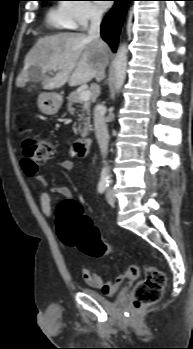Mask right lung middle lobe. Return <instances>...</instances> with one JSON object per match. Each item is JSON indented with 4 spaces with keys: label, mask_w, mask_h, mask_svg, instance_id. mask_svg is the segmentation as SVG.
I'll return each mask as SVG.
<instances>
[{
    "label": "right lung middle lobe",
    "mask_w": 193,
    "mask_h": 349,
    "mask_svg": "<svg viewBox=\"0 0 193 349\" xmlns=\"http://www.w3.org/2000/svg\"><path fill=\"white\" fill-rule=\"evenodd\" d=\"M41 1H43V5L45 6V4H46V1H48V0H41Z\"/></svg>",
    "instance_id": "right-lung-middle-lobe-1"
}]
</instances>
